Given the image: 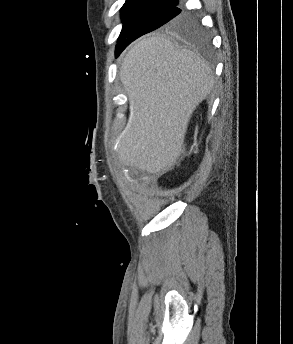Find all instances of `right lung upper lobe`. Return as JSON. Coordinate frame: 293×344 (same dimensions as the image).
<instances>
[{"mask_svg":"<svg viewBox=\"0 0 293 344\" xmlns=\"http://www.w3.org/2000/svg\"><path fill=\"white\" fill-rule=\"evenodd\" d=\"M129 3H161L168 5H177L178 0H126L125 4ZM167 28V26H165Z\"/></svg>","mask_w":293,"mask_h":344,"instance_id":"1","label":"right lung upper lobe"}]
</instances>
